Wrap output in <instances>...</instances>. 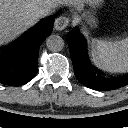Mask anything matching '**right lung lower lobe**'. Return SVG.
<instances>
[{"instance_id":"obj_1","label":"right lung lower lobe","mask_w":128,"mask_h":128,"mask_svg":"<svg viewBox=\"0 0 128 128\" xmlns=\"http://www.w3.org/2000/svg\"><path fill=\"white\" fill-rule=\"evenodd\" d=\"M53 22L54 17L41 21L15 48L0 54V83L21 86L34 78L40 44L51 33Z\"/></svg>"}]
</instances>
